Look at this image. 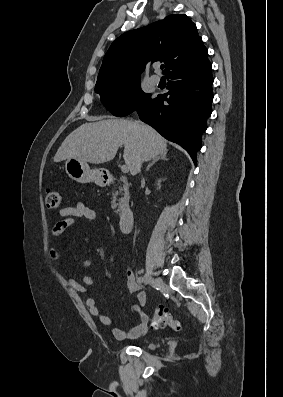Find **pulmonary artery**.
Here are the masks:
<instances>
[{
    "label": "pulmonary artery",
    "mask_w": 283,
    "mask_h": 397,
    "mask_svg": "<svg viewBox=\"0 0 283 397\" xmlns=\"http://www.w3.org/2000/svg\"><path fill=\"white\" fill-rule=\"evenodd\" d=\"M156 69H158V67H156ZM150 81L151 83H153L154 85H158L160 83V76L159 75H152L150 77Z\"/></svg>",
    "instance_id": "e3ab8cb5"
}]
</instances>
